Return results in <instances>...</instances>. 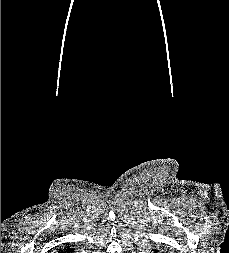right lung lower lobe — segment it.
<instances>
[{
	"instance_id": "obj_1",
	"label": "right lung lower lobe",
	"mask_w": 229,
	"mask_h": 253,
	"mask_svg": "<svg viewBox=\"0 0 229 253\" xmlns=\"http://www.w3.org/2000/svg\"><path fill=\"white\" fill-rule=\"evenodd\" d=\"M58 253H74V249L70 248L69 246H67L66 248H64L63 250L60 249Z\"/></svg>"
}]
</instances>
